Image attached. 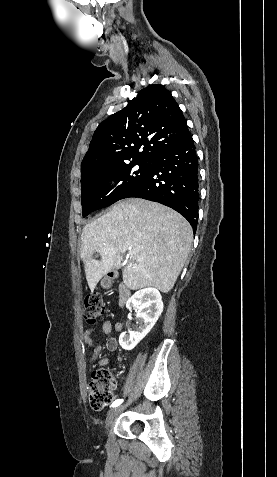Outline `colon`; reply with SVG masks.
Listing matches in <instances>:
<instances>
[{
    "label": "colon",
    "instance_id": "1",
    "mask_svg": "<svg viewBox=\"0 0 277 477\" xmlns=\"http://www.w3.org/2000/svg\"><path fill=\"white\" fill-rule=\"evenodd\" d=\"M106 314L105 306L99 295H89L85 299L83 317L84 320L94 325ZM116 381L109 369L101 368L95 370L88 385L89 404L94 410L105 408L113 398V390Z\"/></svg>",
    "mask_w": 277,
    "mask_h": 477
}]
</instances>
